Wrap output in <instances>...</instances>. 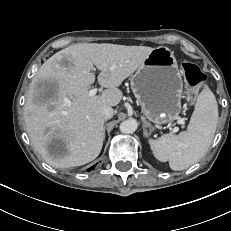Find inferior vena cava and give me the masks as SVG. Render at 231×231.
Listing matches in <instances>:
<instances>
[{
  "label": "inferior vena cava",
  "mask_w": 231,
  "mask_h": 231,
  "mask_svg": "<svg viewBox=\"0 0 231 231\" xmlns=\"http://www.w3.org/2000/svg\"><path fill=\"white\" fill-rule=\"evenodd\" d=\"M101 115L104 120H108L113 117L114 110L111 107H103L101 110Z\"/></svg>",
  "instance_id": "inferior-vena-cava-1"
}]
</instances>
